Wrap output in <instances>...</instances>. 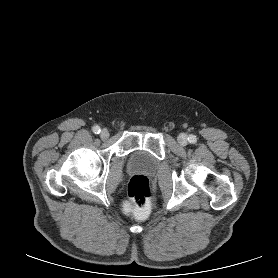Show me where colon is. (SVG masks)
<instances>
[{"mask_svg": "<svg viewBox=\"0 0 278 278\" xmlns=\"http://www.w3.org/2000/svg\"><path fill=\"white\" fill-rule=\"evenodd\" d=\"M152 189L149 179L144 175L133 176L128 184L127 198L121 207L139 217H146L150 212Z\"/></svg>", "mask_w": 278, "mask_h": 278, "instance_id": "colon-1", "label": "colon"}]
</instances>
